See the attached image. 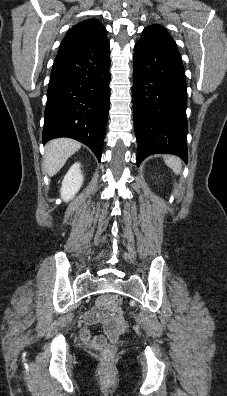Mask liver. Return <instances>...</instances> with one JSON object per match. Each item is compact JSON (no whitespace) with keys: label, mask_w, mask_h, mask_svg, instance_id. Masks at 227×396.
Instances as JSON below:
<instances>
[{"label":"liver","mask_w":227,"mask_h":396,"mask_svg":"<svg viewBox=\"0 0 227 396\" xmlns=\"http://www.w3.org/2000/svg\"><path fill=\"white\" fill-rule=\"evenodd\" d=\"M80 147L81 143L70 138H58L48 142L45 147L44 167L46 173L49 176H54Z\"/></svg>","instance_id":"6515ba94"}]
</instances>
